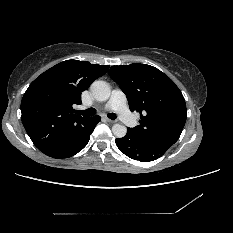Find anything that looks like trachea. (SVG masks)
Returning a JSON list of instances; mask_svg holds the SVG:
<instances>
[{
  "label": "trachea",
  "instance_id": "trachea-1",
  "mask_svg": "<svg viewBox=\"0 0 233 233\" xmlns=\"http://www.w3.org/2000/svg\"><path fill=\"white\" fill-rule=\"evenodd\" d=\"M77 114L79 115H83V116H93L95 113H96V110L94 108H88L86 110H79V111H76ZM108 118L114 120L117 118L116 114L115 113H109L107 114Z\"/></svg>",
  "mask_w": 233,
  "mask_h": 233
}]
</instances>
